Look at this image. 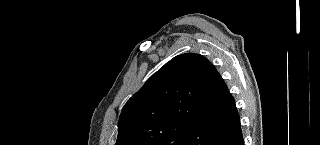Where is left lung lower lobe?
<instances>
[{"label": "left lung lower lobe", "mask_w": 320, "mask_h": 145, "mask_svg": "<svg viewBox=\"0 0 320 145\" xmlns=\"http://www.w3.org/2000/svg\"><path fill=\"white\" fill-rule=\"evenodd\" d=\"M210 106L182 145H244L235 101L215 70L209 82Z\"/></svg>", "instance_id": "0a47b994"}]
</instances>
